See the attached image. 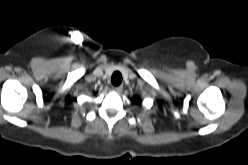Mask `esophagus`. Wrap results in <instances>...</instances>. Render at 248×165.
I'll return each instance as SVG.
<instances>
[{"mask_svg": "<svg viewBox=\"0 0 248 165\" xmlns=\"http://www.w3.org/2000/svg\"><path fill=\"white\" fill-rule=\"evenodd\" d=\"M115 92L117 93H121L123 91V87L122 86H117L114 88Z\"/></svg>", "mask_w": 248, "mask_h": 165, "instance_id": "1", "label": "esophagus"}]
</instances>
